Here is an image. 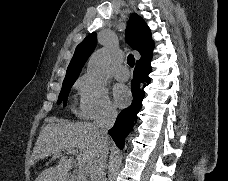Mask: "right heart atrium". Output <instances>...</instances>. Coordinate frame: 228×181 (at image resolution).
Here are the masks:
<instances>
[{
    "label": "right heart atrium",
    "mask_w": 228,
    "mask_h": 181,
    "mask_svg": "<svg viewBox=\"0 0 228 181\" xmlns=\"http://www.w3.org/2000/svg\"><path fill=\"white\" fill-rule=\"evenodd\" d=\"M114 112V105L107 87L95 75L82 81L79 116L83 119H98Z\"/></svg>",
    "instance_id": "right-heart-atrium-1"
}]
</instances>
